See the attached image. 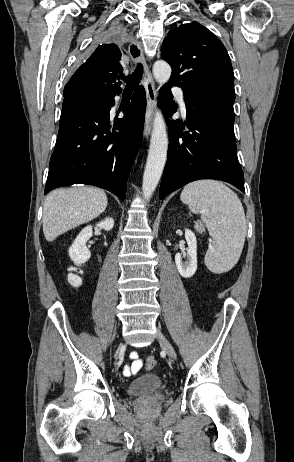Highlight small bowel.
<instances>
[{
    "label": "small bowel",
    "mask_w": 294,
    "mask_h": 462,
    "mask_svg": "<svg viewBox=\"0 0 294 462\" xmlns=\"http://www.w3.org/2000/svg\"><path fill=\"white\" fill-rule=\"evenodd\" d=\"M130 358L132 362L123 367V375L126 377L137 374L142 368V361L138 358L136 351L130 353Z\"/></svg>",
    "instance_id": "small-bowel-1"
}]
</instances>
